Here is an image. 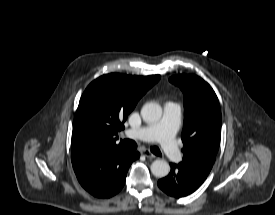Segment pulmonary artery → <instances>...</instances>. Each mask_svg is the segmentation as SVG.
I'll return each instance as SVG.
<instances>
[{"mask_svg":"<svg viewBox=\"0 0 275 215\" xmlns=\"http://www.w3.org/2000/svg\"><path fill=\"white\" fill-rule=\"evenodd\" d=\"M182 108L178 103L167 102L164 105L162 118L155 124L138 129H128L125 135L142 141H158L162 150L171 162L181 158V152L175 142V134L179 128Z\"/></svg>","mask_w":275,"mask_h":215,"instance_id":"pulmonary-artery-1","label":"pulmonary artery"}]
</instances>
